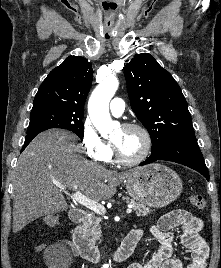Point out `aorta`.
Returning <instances> with one entry per match:
<instances>
[{
	"label": "aorta",
	"mask_w": 221,
	"mask_h": 268,
	"mask_svg": "<svg viewBox=\"0 0 221 268\" xmlns=\"http://www.w3.org/2000/svg\"><path fill=\"white\" fill-rule=\"evenodd\" d=\"M118 86L119 81L115 76L107 77L94 89L88 102L91 121L101 136L105 138L116 127V122L112 121L109 113V102Z\"/></svg>",
	"instance_id": "aorta-1"
}]
</instances>
